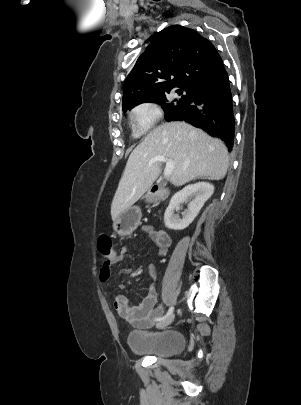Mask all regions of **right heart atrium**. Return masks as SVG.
<instances>
[{"instance_id": "1", "label": "right heart atrium", "mask_w": 301, "mask_h": 405, "mask_svg": "<svg viewBox=\"0 0 301 405\" xmlns=\"http://www.w3.org/2000/svg\"><path fill=\"white\" fill-rule=\"evenodd\" d=\"M162 118V110L152 102H143L131 111V120L139 132H145Z\"/></svg>"}]
</instances>
